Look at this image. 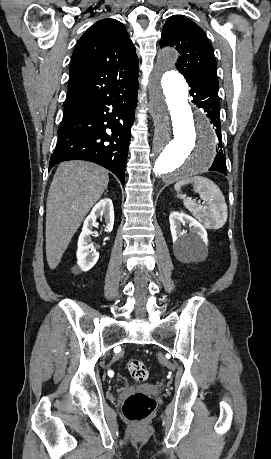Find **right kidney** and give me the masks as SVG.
Here are the masks:
<instances>
[{
    "mask_svg": "<svg viewBox=\"0 0 271 459\" xmlns=\"http://www.w3.org/2000/svg\"><path fill=\"white\" fill-rule=\"evenodd\" d=\"M98 216H101V218L103 216L106 222V231H112L114 226V208L110 198L100 200L84 222L78 239V249L76 251L78 265L72 267L73 273L88 271V269H91V267L95 265L99 257V253L94 249L93 241L90 237V233H94L91 229L95 226Z\"/></svg>",
    "mask_w": 271,
    "mask_h": 459,
    "instance_id": "ca27d5eb",
    "label": "right kidney"
}]
</instances>
